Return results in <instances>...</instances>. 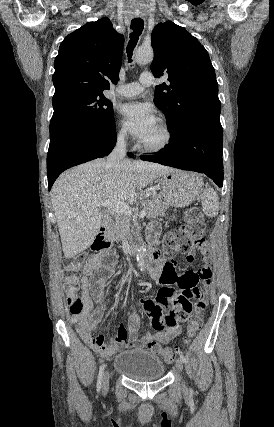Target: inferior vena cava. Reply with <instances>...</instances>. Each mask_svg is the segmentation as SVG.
Listing matches in <instances>:
<instances>
[{"label": "inferior vena cava", "instance_id": "1", "mask_svg": "<svg viewBox=\"0 0 274 427\" xmlns=\"http://www.w3.org/2000/svg\"><path fill=\"white\" fill-rule=\"evenodd\" d=\"M124 138L125 136H119V138H117L116 146L107 158V162H106L107 168H111V166H117L118 162H120V160H123V158H125L126 142Z\"/></svg>", "mask_w": 274, "mask_h": 427}]
</instances>
